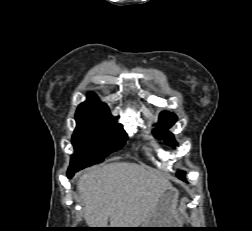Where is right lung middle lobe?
<instances>
[{"mask_svg": "<svg viewBox=\"0 0 252 231\" xmlns=\"http://www.w3.org/2000/svg\"><path fill=\"white\" fill-rule=\"evenodd\" d=\"M75 118L77 126L72 136L75 153L71 156L69 169L80 170L100 163L127 140L122 124L109 114L76 113Z\"/></svg>", "mask_w": 252, "mask_h": 231, "instance_id": "dd1d6c3e", "label": "right lung middle lobe"}]
</instances>
